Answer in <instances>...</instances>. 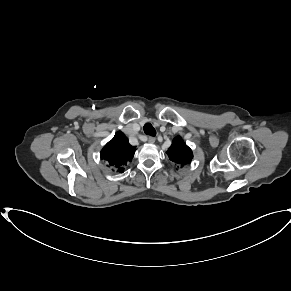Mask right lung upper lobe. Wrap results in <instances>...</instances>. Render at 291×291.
Masks as SVG:
<instances>
[{"label":"right lung upper lobe","mask_w":291,"mask_h":291,"mask_svg":"<svg viewBox=\"0 0 291 291\" xmlns=\"http://www.w3.org/2000/svg\"><path fill=\"white\" fill-rule=\"evenodd\" d=\"M135 151L136 147L129 144L126 136L122 132H117L102 149L101 159L116 168L118 172H123L124 166L132 160Z\"/></svg>","instance_id":"cb5924a9"}]
</instances>
